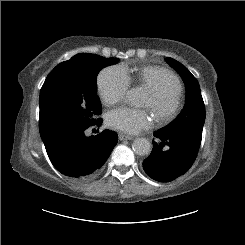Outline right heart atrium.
<instances>
[{"label":"right heart atrium","instance_id":"d8ad5b80","mask_svg":"<svg viewBox=\"0 0 245 245\" xmlns=\"http://www.w3.org/2000/svg\"><path fill=\"white\" fill-rule=\"evenodd\" d=\"M130 86L125 69L119 65H111L102 69L97 77V87L105 104H114L121 100Z\"/></svg>","mask_w":245,"mask_h":245}]
</instances>
